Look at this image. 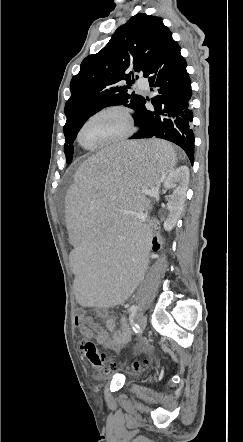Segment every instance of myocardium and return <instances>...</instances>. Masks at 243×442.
<instances>
[{"label":"myocardium","mask_w":243,"mask_h":442,"mask_svg":"<svg viewBox=\"0 0 243 442\" xmlns=\"http://www.w3.org/2000/svg\"><path fill=\"white\" fill-rule=\"evenodd\" d=\"M111 112L119 113L124 118L125 125H126L125 131L121 135H119L113 139H110L104 143H101L99 145H96V146L85 145L81 141V133H82L84 126L89 121L94 119L95 117L100 116L102 114L111 113ZM134 129H135L134 120H133V116H132L129 109H127L126 107H123V106H109V107L100 109V110L94 112L93 114H91L90 116H88L80 125V127L77 131L76 139H77L78 144L81 147H83L86 150L94 151V150H99V149H102V148H105V147H108V146H111V145H114V144H117V143H120V142L126 140L127 138H129L132 135V133L134 132Z\"/></svg>","instance_id":"obj_1"}]
</instances>
